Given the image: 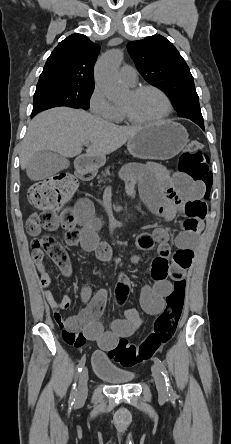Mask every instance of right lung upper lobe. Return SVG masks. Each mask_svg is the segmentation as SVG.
Masks as SVG:
<instances>
[{
  "label": "right lung upper lobe",
  "instance_id": "right-lung-upper-lobe-1",
  "mask_svg": "<svg viewBox=\"0 0 231 444\" xmlns=\"http://www.w3.org/2000/svg\"><path fill=\"white\" fill-rule=\"evenodd\" d=\"M100 46L83 34L61 41L49 56L37 87L48 85L93 86V66Z\"/></svg>",
  "mask_w": 231,
  "mask_h": 444
}]
</instances>
